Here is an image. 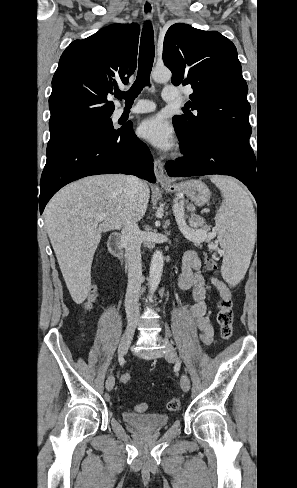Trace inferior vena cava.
<instances>
[{"label": "inferior vena cava", "instance_id": "inferior-vena-cava-1", "mask_svg": "<svg viewBox=\"0 0 297 488\" xmlns=\"http://www.w3.org/2000/svg\"><path fill=\"white\" fill-rule=\"evenodd\" d=\"M143 185V182L134 176L126 177L124 192L130 208L121 231V243L125 248V257L128 263V286L125 297L127 318L139 316L138 298L143 282L140 252L142 232L133 220L131 206Z\"/></svg>", "mask_w": 297, "mask_h": 488}]
</instances>
